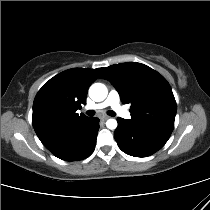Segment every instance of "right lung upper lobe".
<instances>
[{
    "instance_id": "1",
    "label": "right lung upper lobe",
    "mask_w": 210,
    "mask_h": 210,
    "mask_svg": "<svg viewBox=\"0 0 210 210\" xmlns=\"http://www.w3.org/2000/svg\"><path fill=\"white\" fill-rule=\"evenodd\" d=\"M102 69H68L51 78L38 91L33 103L32 123L43 145L89 118L84 114L79 116L76 110L85 104L88 88Z\"/></svg>"
}]
</instances>
